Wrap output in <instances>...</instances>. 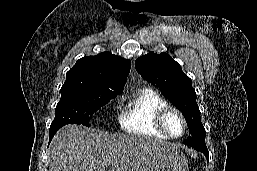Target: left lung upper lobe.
<instances>
[{"mask_svg": "<svg viewBox=\"0 0 257 171\" xmlns=\"http://www.w3.org/2000/svg\"><path fill=\"white\" fill-rule=\"evenodd\" d=\"M135 65L143 79L156 85L183 113L189 128V136L184 144L193 148L206 146L205 129L200 120L196 93L191 79L183 73L181 66L164 52L158 55L149 52L139 57Z\"/></svg>", "mask_w": 257, "mask_h": 171, "instance_id": "left-lung-upper-lobe-1", "label": "left lung upper lobe"}]
</instances>
